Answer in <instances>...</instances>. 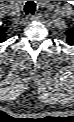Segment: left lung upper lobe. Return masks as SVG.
Instances as JSON below:
<instances>
[{"instance_id": "1", "label": "left lung upper lobe", "mask_w": 74, "mask_h": 122, "mask_svg": "<svg viewBox=\"0 0 74 122\" xmlns=\"http://www.w3.org/2000/svg\"><path fill=\"white\" fill-rule=\"evenodd\" d=\"M67 38L66 41L69 45H74V28L66 31Z\"/></svg>"}]
</instances>
